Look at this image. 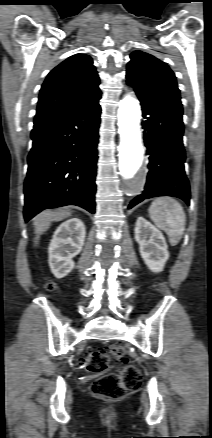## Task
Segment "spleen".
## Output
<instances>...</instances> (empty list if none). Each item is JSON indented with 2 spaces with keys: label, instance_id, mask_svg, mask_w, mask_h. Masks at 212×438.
<instances>
[{
  "label": "spleen",
  "instance_id": "1",
  "mask_svg": "<svg viewBox=\"0 0 212 438\" xmlns=\"http://www.w3.org/2000/svg\"><path fill=\"white\" fill-rule=\"evenodd\" d=\"M154 224L168 235L169 242L176 246L185 231L186 215L179 202L171 197L156 198L149 207Z\"/></svg>",
  "mask_w": 212,
  "mask_h": 438
}]
</instances>
